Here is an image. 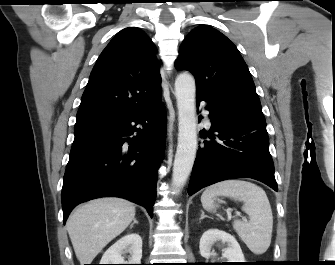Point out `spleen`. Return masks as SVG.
Returning a JSON list of instances; mask_svg holds the SVG:
<instances>
[{"label": "spleen", "instance_id": "1", "mask_svg": "<svg viewBox=\"0 0 335 265\" xmlns=\"http://www.w3.org/2000/svg\"><path fill=\"white\" fill-rule=\"evenodd\" d=\"M225 196L243 202L242 210L250 221L234 220L233 227L241 240L256 255L263 254L271 244L273 215L265 191L244 180H226L206 188L201 195L205 210L214 211L218 207L214 199Z\"/></svg>", "mask_w": 335, "mask_h": 265}]
</instances>
